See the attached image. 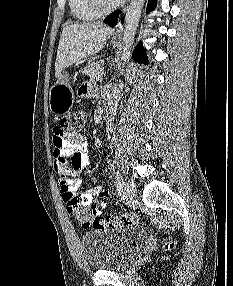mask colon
Masks as SVG:
<instances>
[{
  "instance_id": "5ec220e1",
  "label": "colon",
  "mask_w": 233,
  "mask_h": 286,
  "mask_svg": "<svg viewBox=\"0 0 233 286\" xmlns=\"http://www.w3.org/2000/svg\"><path fill=\"white\" fill-rule=\"evenodd\" d=\"M84 123V113L76 111L65 115L61 119L59 127H56V130L61 135L81 136L84 129ZM66 205L68 211L75 215L78 221L87 227L91 226L97 231L122 228L134 224L137 220L136 216L133 214L102 217L93 206L84 205L80 198L71 194L66 197Z\"/></svg>"
}]
</instances>
